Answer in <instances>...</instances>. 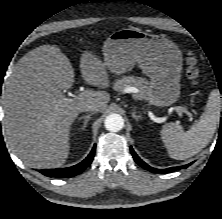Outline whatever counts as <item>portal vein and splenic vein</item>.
Masks as SVG:
<instances>
[{
	"label": "portal vein and splenic vein",
	"mask_w": 222,
	"mask_h": 219,
	"mask_svg": "<svg viewBox=\"0 0 222 219\" xmlns=\"http://www.w3.org/2000/svg\"><path fill=\"white\" fill-rule=\"evenodd\" d=\"M126 92L130 93V92H138V89L134 88V87H129L126 89ZM94 95L93 92L91 91H84V92H81L79 95H78V98H84V97H88V96H92ZM174 110L181 116L182 113H185L191 120H193V114L186 108L184 107H181V106H174L173 107Z\"/></svg>",
	"instance_id": "portal-vein-and-splenic-vein-1"
}]
</instances>
